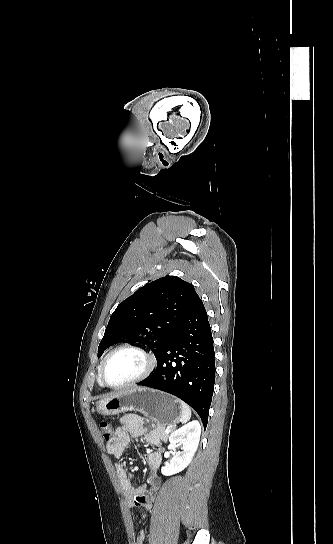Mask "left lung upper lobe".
<instances>
[{
    "instance_id": "1",
    "label": "left lung upper lobe",
    "mask_w": 333,
    "mask_h": 544,
    "mask_svg": "<svg viewBox=\"0 0 333 544\" xmlns=\"http://www.w3.org/2000/svg\"><path fill=\"white\" fill-rule=\"evenodd\" d=\"M199 299L193 285L177 276L162 277L139 288L112 313L98 347V357L117 342L133 341L147 345L157 359Z\"/></svg>"
}]
</instances>
